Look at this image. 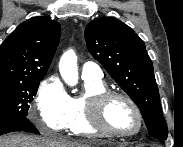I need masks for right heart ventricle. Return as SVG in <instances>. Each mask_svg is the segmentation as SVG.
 Segmentation results:
<instances>
[{
  "label": "right heart ventricle",
  "instance_id": "obj_1",
  "mask_svg": "<svg viewBox=\"0 0 183 147\" xmlns=\"http://www.w3.org/2000/svg\"><path fill=\"white\" fill-rule=\"evenodd\" d=\"M85 92L79 96L69 98V117L66 129L74 136L97 137L102 133L93 128L88 120V99L97 93L105 91L103 81L84 80Z\"/></svg>",
  "mask_w": 183,
  "mask_h": 147
}]
</instances>
